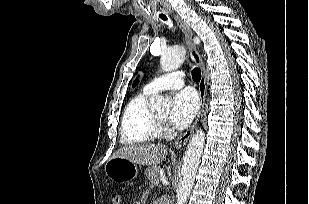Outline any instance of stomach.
I'll return each mask as SVG.
<instances>
[{
  "label": "stomach",
  "mask_w": 309,
  "mask_h": 204,
  "mask_svg": "<svg viewBox=\"0 0 309 204\" xmlns=\"http://www.w3.org/2000/svg\"><path fill=\"white\" fill-rule=\"evenodd\" d=\"M105 173L116 182H128L138 175L137 164L124 158H111L105 165Z\"/></svg>",
  "instance_id": "stomach-1"
}]
</instances>
